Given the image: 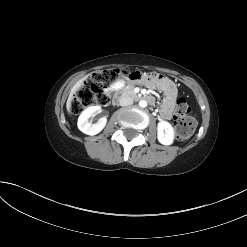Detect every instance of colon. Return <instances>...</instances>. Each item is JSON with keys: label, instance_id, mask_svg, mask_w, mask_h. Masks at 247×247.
<instances>
[{"label": "colon", "instance_id": "obj_1", "mask_svg": "<svg viewBox=\"0 0 247 247\" xmlns=\"http://www.w3.org/2000/svg\"><path fill=\"white\" fill-rule=\"evenodd\" d=\"M126 72L121 69H105L94 73L72 98L71 112L79 114L90 106L107 105L110 100L111 87L126 79ZM190 112V107L185 99L180 98L177 101L174 115L176 136L180 140L188 139L195 131L196 121Z\"/></svg>", "mask_w": 247, "mask_h": 247}]
</instances>
